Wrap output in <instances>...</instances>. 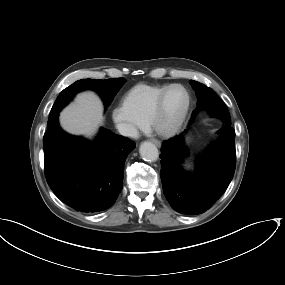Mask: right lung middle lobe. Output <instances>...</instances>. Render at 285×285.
Listing matches in <instances>:
<instances>
[{
  "instance_id": "dd1d6c3e",
  "label": "right lung middle lobe",
  "mask_w": 285,
  "mask_h": 285,
  "mask_svg": "<svg viewBox=\"0 0 285 285\" xmlns=\"http://www.w3.org/2000/svg\"><path fill=\"white\" fill-rule=\"evenodd\" d=\"M124 82V78H112L106 80L81 79L76 81L65 88L56 99L49 115L48 127L57 120L60 110L72 100L77 92L84 89L96 91L102 97L106 110Z\"/></svg>"
}]
</instances>
